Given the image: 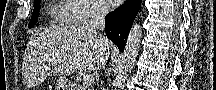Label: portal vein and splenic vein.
<instances>
[{"instance_id":"18ae733b","label":"portal vein and splenic vein","mask_w":216,"mask_h":90,"mask_svg":"<svg viewBox=\"0 0 216 90\" xmlns=\"http://www.w3.org/2000/svg\"><path fill=\"white\" fill-rule=\"evenodd\" d=\"M94 82V78H92V76H84V82H83V86L84 88H89V86H92Z\"/></svg>"}]
</instances>
